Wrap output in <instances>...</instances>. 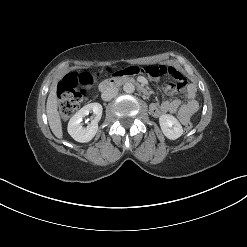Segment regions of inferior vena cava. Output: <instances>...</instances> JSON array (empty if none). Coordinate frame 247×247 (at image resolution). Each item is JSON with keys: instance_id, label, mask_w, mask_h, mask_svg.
<instances>
[{"instance_id": "inferior-vena-cava-1", "label": "inferior vena cava", "mask_w": 247, "mask_h": 247, "mask_svg": "<svg viewBox=\"0 0 247 247\" xmlns=\"http://www.w3.org/2000/svg\"><path fill=\"white\" fill-rule=\"evenodd\" d=\"M118 94V89L115 88V87H109V88H106L102 94H101V98L104 100V101H109L111 100L112 98H114L116 95Z\"/></svg>"}]
</instances>
